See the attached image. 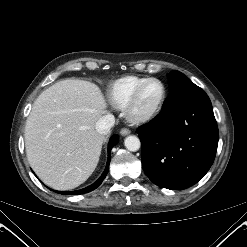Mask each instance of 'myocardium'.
<instances>
[{"instance_id": "f54148a6", "label": "myocardium", "mask_w": 247, "mask_h": 247, "mask_svg": "<svg viewBox=\"0 0 247 247\" xmlns=\"http://www.w3.org/2000/svg\"><path fill=\"white\" fill-rule=\"evenodd\" d=\"M151 82H157L161 85L162 87V96L161 99L156 106L154 110L147 114L139 115L134 112V107L139 99V96L142 92V90L145 88L146 85H148ZM167 98V88L164 82L158 78H148L145 81H143L141 84H139L134 92L132 93L130 99L128 100L126 106H125V114L127 118L133 122V123H147L151 120H153L162 110L164 103Z\"/></svg>"}]
</instances>
